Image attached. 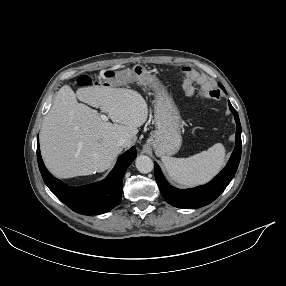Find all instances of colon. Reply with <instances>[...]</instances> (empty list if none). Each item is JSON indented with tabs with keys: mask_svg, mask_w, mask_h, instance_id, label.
Listing matches in <instances>:
<instances>
[{
	"mask_svg": "<svg viewBox=\"0 0 286 286\" xmlns=\"http://www.w3.org/2000/svg\"><path fill=\"white\" fill-rule=\"evenodd\" d=\"M114 75V71L112 69H107L104 71L103 76L107 77V78H111ZM100 75L98 74H92V75H81L78 78V84L81 87H88L90 85H92L93 83L97 82L100 79ZM199 98H203V97H207L208 98V94L205 92H201L198 94Z\"/></svg>",
	"mask_w": 286,
	"mask_h": 286,
	"instance_id": "5ec220e1",
	"label": "colon"
}]
</instances>
